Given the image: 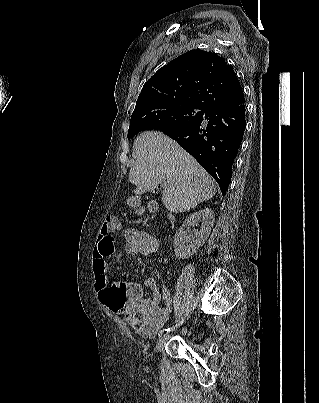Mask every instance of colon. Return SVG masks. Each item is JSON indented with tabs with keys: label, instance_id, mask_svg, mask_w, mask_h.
<instances>
[{
	"label": "colon",
	"instance_id": "colon-1",
	"mask_svg": "<svg viewBox=\"0 0 319 403\" xmlns=\"http://www.w3.org/2000/svg\"><path fill=\"white\" fill-rule=\"evenodd\" d=\"M128 202L133 204L135 210H140L143 197L136 195ZM147 206L149 210H158L160 205L158 201H149ZM125 243L131 258H134L135 254H140V258H161V240H158L157 234H151L145 226H132L125 234Z\"/></svg>",
	"mask_w": 319,
	"mask_h": 403
}]
</instances>
